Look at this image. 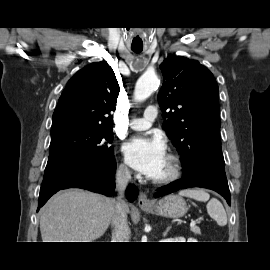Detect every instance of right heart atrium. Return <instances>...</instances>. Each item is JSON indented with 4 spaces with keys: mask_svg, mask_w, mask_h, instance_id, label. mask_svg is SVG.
Returning a JSON list of instances; mask_svg holds the SVG:
<instances>
[{
    "mask_svg": "<svg viewBox=\"0 0 270 270\" xmlns=\"http://www.w3.org/2000/svg\"><path fill=\"white\" fill-rule=\"evenodd\" d=\"M117 172L120 176L128 178L131 174L130 169L126 162L122 161L117 167Z\"/></svg>",
    "mask_w": 270,
    "mask_h": 270,
    "instance_id": "1",
    "label": "right heart atrium"
}]
</instances>
